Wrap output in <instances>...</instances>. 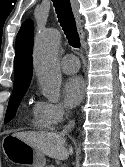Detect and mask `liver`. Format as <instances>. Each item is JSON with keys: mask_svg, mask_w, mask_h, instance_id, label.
<instances>
[{"mask_svg": "<svg viewBox=\"0 0 125 167\" xmlns=\"http://www.w3.org/2000/svg\"><path fill=\"white\" fill-rule=\"evenodd\" d=\"M13 136L57 160H66L73 153L71 147L65 148V137L62 133L17 132Z\"/></svg>", "mask_w": 125, "mask_h": 167, "instance_id": "obj_1", "label": "liver"}]
</instances>
